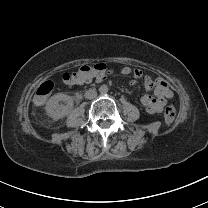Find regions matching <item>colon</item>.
Returning <instances> with one entry per match:
<instances>
[{
  "instance_id": "obj_1",
  "label": "colon",
  "mask_w": 208,
  "mask_h": 208,
  "mask_svg": "<svg viewBox=\"0 0 208 208\" xmlns=\"http://www.w3.org/2000/svg\"><path fill=\"white\" fill-rule=\"evenodd\" d=\"M108 69L106 64L94 63V64H83L77 70L73 72H65L63 74V82H78L82 79H93L100 75H103ZM54 89V82L52 80H45L38 90V93L34 95L33 102L37 106H42L48 101V97ZM176 119V108L174 104H170L163 117L164 125L169 127L173 124Z\"/></svg>"
}]
</instances>
